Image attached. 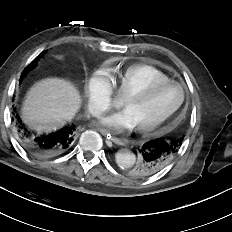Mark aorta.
Returning a JSON list of instances; mask_svg holds the SVG:
<instances>
[{"mask_svg": "<svg viewBox=\"0 0 232 232\" xmlns=\"http://www.w3.org/2000/svg\"><path fill=\"white\" fill-rule=\"evenodd\" d=\"M117 165L122 168H130L135 164L136 156L133 152L127 149L119 150L115 155Z\"/></svg>", "mask_w": 232, "mask_h": 232, "instance_id": "obj_1", "label": "aorta"}]
</instances>
